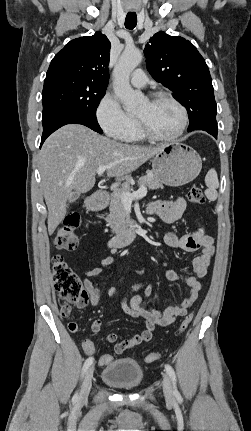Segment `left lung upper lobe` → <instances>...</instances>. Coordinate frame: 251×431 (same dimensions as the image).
Wrapping results in <instances>:
<instances>
[{
	"instance_id": "5c2ea615",
	"label": "left lung upper lobe",
	"mask_w": 251,
	"mask_h": 431,
	"mask_svg": "<svg viewBox=\"0 0 251 431\" xmlns=\"http://www.w3.org/2000/svg\"><path fill=\"white\" fill-rule=\"evenodd\" d=\"M144 53L151 76L167 87L188 112V131H217V106L208 66L188 40L158 32Z\"/></svg>"
}]
</instances>
